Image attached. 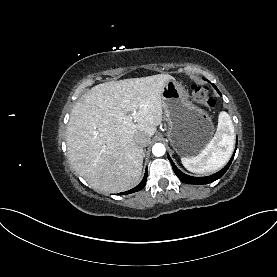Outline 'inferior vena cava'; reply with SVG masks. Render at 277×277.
Returning a JSON list of instances; mask_svg holds the SVG:
<instances>
[{
  "mask_svg": "<svg viewBox=\"0 0 277 277\" xmlns=\"http://www.w3.org/2000/svg\"><path fill=\"white\" fill-rule=\"evenodd\" d=\"M135 141L137 144H139L141 147H146L148 143L150 142V139L143 133H138L135 136Z\"/></svg>",
  "mask_w": 277,
  "mask_h": 277,
  "instance_id": "obj_1",
  "label": "inferior vena cava"
}]
</instances>
